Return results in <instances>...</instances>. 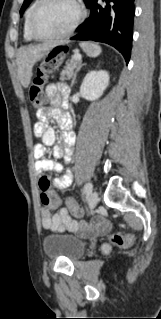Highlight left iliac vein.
Here are the masks:
<instances>
[{"instance_id": "1", "label": "left iliac vein", "mask_w": 161, "mask_h": 319, "mask_svg": "<svg viewBox=\"0 0 161 319\" xmlns=\"http://www.w3.org/2000/svg\"><path fill=\"white\" fill-rule=\"evenodd\" d=\"M99 200L98 193L96 191L91 192L88 199V208L93 209L97 205Z\"/></svg>"}]
</instances>
